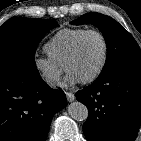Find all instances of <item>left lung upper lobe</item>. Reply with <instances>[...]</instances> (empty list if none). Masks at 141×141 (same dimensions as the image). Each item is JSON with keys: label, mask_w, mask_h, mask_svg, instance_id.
<instances>
[{"label": "left lung upper lobe", "mask_w": 141, "mask_h": 141, "mask_svg": "<svg viewBox=\"0 0 141 141\" xmlns=\"http://www.w3.org/2000/svg\"><path fill=\"white\" fill-rule=\"evenodd\" d=\"M93 24L103 33L107 58L100 78L122 69H141V50L132 35L113 18L100 13H87L71 24Z\"/></svg>", "instance_id": "5c2ea615"}]
</instances>
